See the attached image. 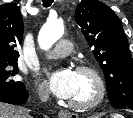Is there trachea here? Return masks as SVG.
Segmentation results:
<instances>
[{
  "mask_svg": "<svg viewBox=\"0 0 133 118\" xmlns=\"http://www.w3.org/2000/svg\"><path fill=\"white\" fill-rule=\"evenodd\" d=\"M53 3V0H43V6L49 7Z\"/></svg>",
  "mask_w": 133,
  "mask_h": 118,
  "instance_id": "1",
  "label": "trachea"
}]
</instances>
